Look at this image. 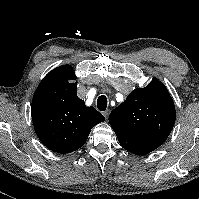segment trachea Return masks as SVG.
<instances>
[{
	"label": "trachea",
	"instance_id": "trachea-1",
	"mask_svg": "<svg viewBox=\"0 0 199 199\" xmlns=\"http://www.w3.org/2000/svg\"><path fill=\"white\" fill-rule=\"evenodd\" d=\"M107 104H108V101H107L106 96L101 95V96L98 97L97 107L100 111H105L106 108H107Z\"/></svg>",
	"mask_w": 199,
	"mask_h": 199
}]
</instances>
